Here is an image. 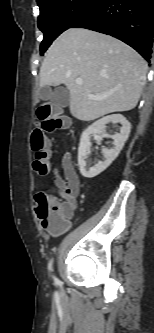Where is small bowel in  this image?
Here are the masks:
<instances>
[{
  "label": "small bowel",
  "instance_id": "small-bowel-1",
  "mask_svg": "<svg viewBox=\"0 0 154 333\" xmlns=\"http://www.w3.org/2000/svg\"><path fill=\"white\" fill-rule=\"evenodd\" d=\"M62 170L63 176H61L57 170L54 171V182L64 198L63 205L68 216H70L76 206V197L79 193L80 182L72 160V155L69 152H65L62 157ZM68 227L69 224L64 231H66Z\"/></svg>",
  "mask_w": 154,
  "mask_h": 333
}]
</instances>
